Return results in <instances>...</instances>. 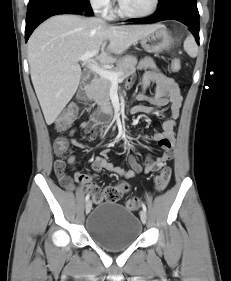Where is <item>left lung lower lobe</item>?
I'll return each instance as SVG.
<instances>
[{"label": "left lung lower lobe", "instance_id": "left-lung-lower-lobe-1", "mask_svg": "<svg viewBox=\"0 0 231 281\" xmlns=\"http://www.w3.org/2000/svg\"><path fill=\"white\" fill-rule=\"evenodd\" d=\"M162 20H177L187 25L199 44V12L197 0H161L158 11L144 19H129L136 24L155 23Z\"/></svg>", "mask_w": 231, "mask_h": 281}]
</instances>
